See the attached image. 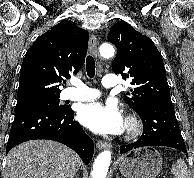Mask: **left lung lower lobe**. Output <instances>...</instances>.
Listing matches in <instances>:
<instances>
[{
	"label": "left lung lower lobe",
	"mask_w": 194,
	"mask_h": 178,
	"mask_svg": "<svg viewBox=\"0 0 194 178\" xmlns=\"http://www.w3.org/2000/svg\"><path fill=\"white\" fill-rule=\"evenodd\" d=\"M144 133L133 144L120 146V154L145 146H168L186 154L172 102L141 105L137 111Z\"/></svg>",
	"instance_id": "left-lung-lower-lobe-1"
}]
</instances>
